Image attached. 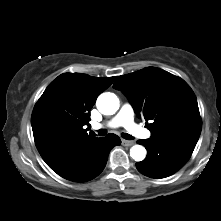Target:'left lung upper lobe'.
<instances>
[{
  "label": "left lung upper lobe",
  "mask_w": 221,
  "mask_h": 221,
  "mask_svg": "<svg viewBox=\"0 0 221 221\" xmlns=\"http://www.w3.org/2000/svg\"><path fill=\"white\" fill-rule=\"evenodd\" d=\"M113 87L127 96L138 116L144 117L151 139L200 136L202 122L196 96L183 79L147 67L119 76Z\"/></svg>",
  "instance_id": "left-lung-upper-lobe-1"
}]
</instances>
